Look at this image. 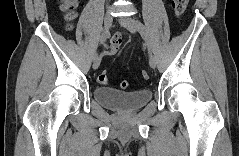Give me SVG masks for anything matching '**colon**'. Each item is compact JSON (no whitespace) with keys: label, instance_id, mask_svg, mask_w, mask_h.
Here are the masks:
<instances>
[{"label":"colon","instance_id":"1","mask_svg":"<svg viewBox=\"0 0 239 156\" xmlns=\"http://www.w3.org/2000/svg\"><path fill=\"white\" fill-rule=\"evenodd\" d=\"M187 6V0H174V10L177 15H181ZM77 3L74 0H66L61 4L62 11L65 12L66 19L72 21L76 16ZM141 76L144 80L148 79V74L142 71ZM98 81L100 83H106L108 81V74L106 70H102L98 75ZM122 89L129 87L128 81H122L120 84Z\"/></svg>","mask_w":239,"mask_h":156}]
</instances>
